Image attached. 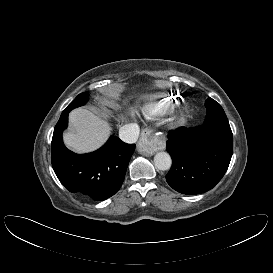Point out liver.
<instances>
[{"instance_id": "liver-1", "label": "liver", "mask_w": 273, "mask_h": 273, "mask_svg": "<svg viewBox=\"0 0 273 273\" xmlns=\"http://www.w3.org/2000/svg\"><path fill=\"white\" fill-rule=\"evenodd\" d=\"M73 130L63 135L64 143L77 153L92 152L101 147L111 133L109 124L87 109L70 112Z\"/></svg>"}]
</instances>
